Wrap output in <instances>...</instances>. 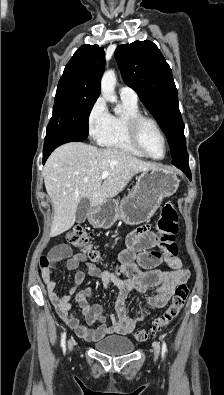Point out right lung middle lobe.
I'll return each instance as SVG.
<instances>
[{
    "label": "right lung middle lobe",
    "instance_id": "dd1d6c3e",
    "mask_svg": "<svg viewBox=\"0 0 224 395\" xmlns=\"http://www.w3.org/2000/svg\"><path fill=\"white\" fill-rule=\"evenodd\" d=\"M99 94L64 85L57 87L49 131H62L79 139L88 136V119Z\"/></svg>",
    "mask_w": 224,
    "mask_h": 395
}]
</instances>
